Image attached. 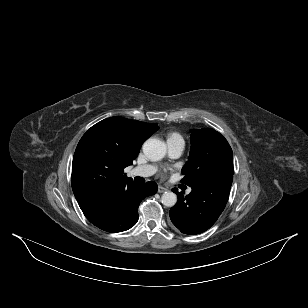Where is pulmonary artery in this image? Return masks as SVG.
<instances>
[{
    "mask_svg": "<svg viewBox=\"0 0 308 308\" xmlns=\"http://www.w3.org/2000/svg\"><path fill=\"white\" fill-rule=\"evenodd\" d=\"M167 151L171 158L179 157L184 150V143L180 141H167ZM157 168L154 165L137 166L132 170V174L140 177H149L156 172ZM190 190H188V193Z\"/></svg>",
    "mask_w": 308,
    "mask_h": 308,
    "instance_id": "e3ab8cb5",
    "label": "pulmonary artery"
}]
</instances>
